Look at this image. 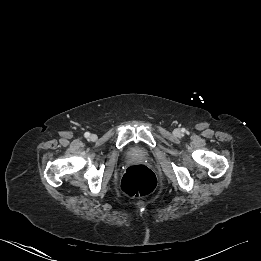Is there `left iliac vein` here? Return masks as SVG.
<instances>
[{"label": "left iliac vein", "mask_w": 261, "mask_h": 261, "mask_svg": "<svg viewBox=\"0 0 261 261\" xmlns=\"http://www.w3.org/2000/svg\"><path fill=\"white\" fill-rule=\"evenodd\" d=\"M175 133H176V134H179V131H178V130H176V131H175Z\"/></svg>", "instance_id": "1"}]
</instances>
